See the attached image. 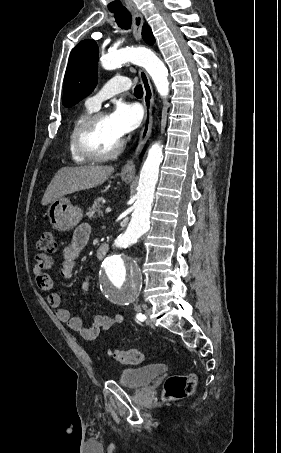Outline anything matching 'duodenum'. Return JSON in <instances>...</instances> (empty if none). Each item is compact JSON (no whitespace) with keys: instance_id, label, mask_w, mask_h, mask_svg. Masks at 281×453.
<instances>
[{"instance_id":"obj_1","label":"duodenum","mask_w":281,"mask_h":453,"mask_svg":"<svg viewBox=\"0 0 281 453\" xmlns=\"http://www.w3.org/2000/svg\"><path fill=\"white\" fill-rule=\"evenodd\" d=\"M108 253V246L105 243H102L98 246L96 250V256L98 259H103Z\"/></svg>"}]
</instances>
